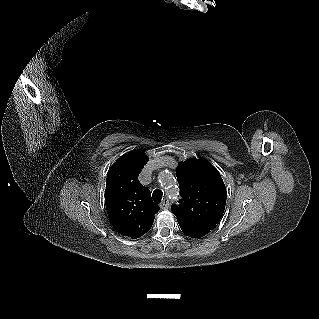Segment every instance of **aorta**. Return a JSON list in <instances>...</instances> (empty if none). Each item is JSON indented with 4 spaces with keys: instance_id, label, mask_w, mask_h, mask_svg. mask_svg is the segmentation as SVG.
Wrapping results in <instances>:
<instances>
[{
    "instance_id": "1",
    "label": "aorta",
    "mask_w": 319,
    "mask_h": 319,
    "mask_svg": "<svg viewBox=\"0 0 319 319\" xmlns=\"http://www.w3.org/2000/svg\"><path fill=\"white\" fill-rule=\"evenodd\" d=\"M158 179L161 184L168 185V183L172 180V175L170 172H162L159 174Z\"/></svg>"
}]
</instances>
